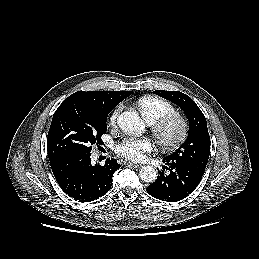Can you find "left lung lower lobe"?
<instances>
[{"mask_svg": "<svg viewBox=\"0 0 259 259\" xmlns=\"http://www.w3.org/2000/svg\"><path fill=\"white\" fill-rule=\"evenodd\" d=\"M163 162L170 174L158 170L156 181L147 187V192L154 198L174 202L186 198L191 194L201 181L204 173L199 172L192 165L180 161L166 160Z\"/></svg>", "mask_w": 259, "mask_h": 259, "instance_id": "left-lung-lower-lobe-1", "label": "left lung lower lobe"}]
</instances>
